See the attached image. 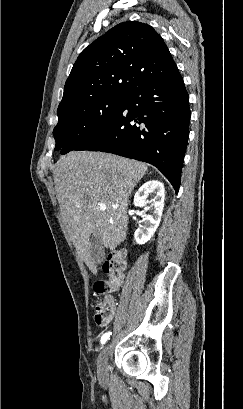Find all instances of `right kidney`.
Returning a JSON list of instances; mask_svg holds the SVG:
<instances>
[{"label": "right kidney", "mask_w": 243, "mask_h": 409, "mask_svg": "<svg viewBox=\"0 0 243 409\" xmlns=\"http://www.w3.org/2000/svg\"><path fill=\"white\" fill-rule=\"evenodd\" d=\"M153 199L149 202L148 196ZM165 189L161 182L150 180L143 184L134 196V205L137 207L146 206L151 203V214L142 218V225L135 231L134 238L137 244H145L154 235L160 224L164 207Z\"/></svg>", "instance_id": "right-kidney-1"}]
</instances>
